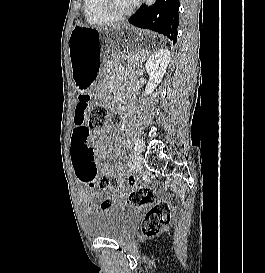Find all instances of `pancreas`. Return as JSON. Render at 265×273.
I'll use <instances>...</instances> for the list:
<instances>
[{"label": "pancreas", "mask_w": 265, "mask_h": 273, "mask_svg": "<svg viewBox=\"0 0 265 273\" xmlns=\"http://www.w3.org/2000/svg\"><path fill=\"white\" fill-rule=\"evenodd\" d=\"M126 61H128V63L131 65V66H137L139 64V59L137 58L136 55H132V56H126L124 58Z\"/></svg>", "instance_id": "obj_1"}]
</instances>
